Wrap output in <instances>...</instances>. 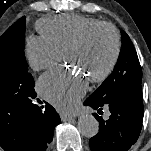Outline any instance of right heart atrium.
Listing matches in <instances>:
<instances>
[{"label":"right heart atrium","instance_id":"d8ad5b80","mask_svg":"<svg viewBox=\"0 0 151 151\" xmlns=\"http://www.w3.org/2000/svg\"><path fill=\"white\" fill-rule=\"evenodd\" d=\"M62 55V52L43 36H30L26 40L25 56L35 71L54 66L62 59Z\"/></svg>","mask_w":151,"mask_h":151}]
</instances>
